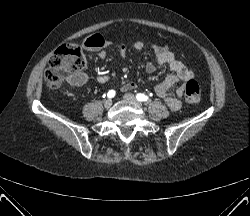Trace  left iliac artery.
Returning <instances> with one entry per match:
<instances>
[{
    "instance_id": "obj_1",
    "label": "left iliac artery",
    "mask_w": 250,
    "mask_h": 216,
    "mask_svg": "<svg viewBox=\"0 0 250 216\" xmlns=\"http://www.w3.org/2000/svg\"><path fill=\"white\" fill-rule=\"evenodd\" d=\"M136 98L138 101H141V102L147 101L149 99L148 96L141 94V93H138L136 95Z\"/></svg>"
}]
</instances>
